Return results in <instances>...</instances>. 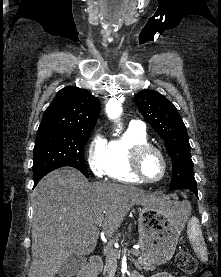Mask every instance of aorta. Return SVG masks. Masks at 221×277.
Segmentation results:
<instances>
[{
	"mask_svg": "<svg viewBox=\"0 0 221 277\" xmlns=\"http://www.w3.org/2000/svg\"><path fill=\"white\" fill-rule=\"evenodd\" d=\"M121 100L112 99L107 107L106 112L111 119H117L121 114Z\"/></svg>",
	"mask_w": 221,
	"mask_h": 277,
	"instance_id": "762f6f07",
	"label": "aorta"
}]
</instances>
